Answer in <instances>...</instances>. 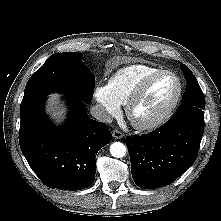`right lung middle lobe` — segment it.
Returning a JSON list of instances; mask_svg holds the SVG:
<instances>
[{
    "instance_id": "right-lung-middle-lobe-1",
    "label": "right lung middle lobe",
    "mask_w": 221,
    "mask_h": 221,
    "mask_svg": "<svg viewBox=\"0 0 221 221\" xmlns=\"http://www.w3.org/2000/svg\"><path fill=\"white\" fill-rule=\"evenodd\" d=\"M82 60L83 55L76 52L51 55L27 82L20 112L54 91L90 101L95 77Z\"/></svg>"
}]
</instances>
